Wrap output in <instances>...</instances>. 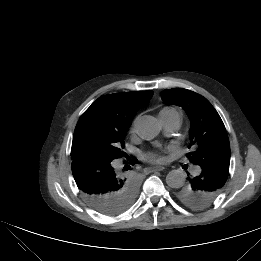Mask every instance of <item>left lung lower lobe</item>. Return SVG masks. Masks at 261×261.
<instances>
[{"label": "left lung lower lobe", "mask_w": 261, "mask_h": 261, "mask_svg": "<svg viewBox=\"0 0 261 261\" xmlns=\"http://www.w3.org/2000/svg\"><path fill=\"white\" fill-rule=\"evenodd\" d=\"M228 172L229 163L207 161L200 165V173L196 177H188V184L193 190L200 191L207 197L216 196L217 193L220 194L228 178Z\"/></svg>", "instance_id": "obj_1"}]
</instances>
